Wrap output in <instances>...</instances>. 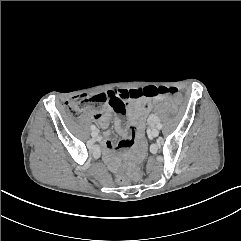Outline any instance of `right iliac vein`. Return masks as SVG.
Here are the masks:
<instances>
[{
    "instance_id": "obj_1",
    "label": "right iliac vein",
    "mask_w": 241,
    "mask_h": 241,
    "mask_svg": "<svg viewBox=\"0 0 241 241\" xmlns=\"http://www.w3.org/2000/svg\"><path fill=\"white\" fill-rule=\"evenodd\" d=\"M98 134H99V133H98V130H96V129L93 130L92 133H91V135H92L93 138H96V137L98 136Z\"/></svg>"
}]
</instances>
